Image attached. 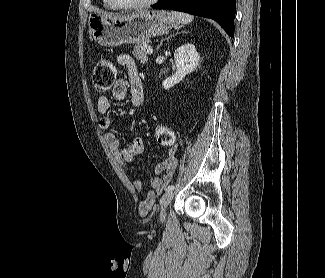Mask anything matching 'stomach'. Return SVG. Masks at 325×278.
Wrapping results in <instances>:
<instances>
[{
	"label": "stomach",
	"instance_id": "1",
	"mask_svg": "<svg viewBox=\"0 0 325 278\" xmlns=\"http://www.w3.org/2000/svg\"><path fill=\"white\" fill-rule=\"evenodd\" d=\"M177 24L172 14L157 10H143L123 16L93 13L88 20L92 39L104 47L141 44L150 37L169 32Z\"/></svg>",
	"mask_w": 325,
	"mask_h": 278
}]
</instances>
